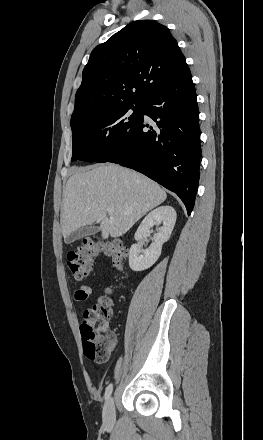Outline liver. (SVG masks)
Returning a JSON list of instances; mask_svg holds the SVG:
<instances>
[{
	"label": "liver",
	"instance_id": "6515ba94",
	"mask_svg": "<svg viewBox=\"0 0 263 440\" xmlns=\"http://www.w3.org/2000/svg\"><path fill=\"white\" fill-rule=\"evenodd\" d=\"M166 197L156 182L119 165L78 168L63 192L62 234L99 223L103 239L120 237Z\"/></svg>",
	"mask_w": 263,
	"mask_h": 440
}]
</instances>
